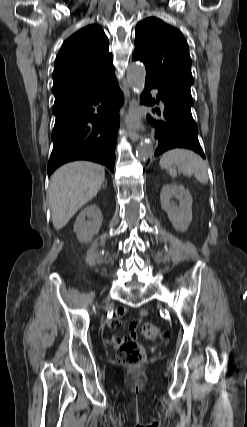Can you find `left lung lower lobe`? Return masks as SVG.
Here are the masks:
<instances>
[{
    "label": "left lung lower lobe",
    "instance_id": "obj_1",
    "mask_svg": "<svg viewBox=\"0 0 247 427\" xmlns=\"http://www.w3.org/2000/svg\"><path fill=\"white\" fill-rule=\"evenodd\" d=\"M152 88L157 87L145 82V90L141 95L142 104L149 106L155 104V99H152L149 93ZM159 99L165 105L164 113L161 114L159 109H153V113L161 115L162 119H155L153 116L147 115L148 121L156 128V137L159 140L155 156L173 148H187L205 158L198 140V128L193 120L191 108L160 90L157 102H159Z\"/></svg>",
    "mask_w": 247,
    "mask_h": 427
}]
</instances>
